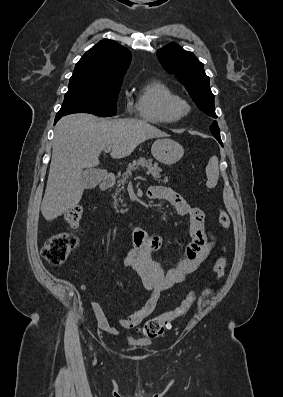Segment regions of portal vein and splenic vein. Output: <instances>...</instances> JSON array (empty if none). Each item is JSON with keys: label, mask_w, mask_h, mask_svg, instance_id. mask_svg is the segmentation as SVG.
Returning a JSON list of instances; mask_svg holds the SVG:
<instances>
[{"label": "portal vein and splenic vein", "mask_w": 283, "mask_h": 397, "mask_svg": "<svg viewBox=\"0 0 283 397\" xmlns=\"http://www.w3.org/2000/svg\"><path fill=\"white\" fill-rule=\"evenodd\" d=\"M104 151H105L106 153H109V152L111 151V147H106V148L104 149Z\"/></svg>", "instance_id": "1"}]
</instances>
